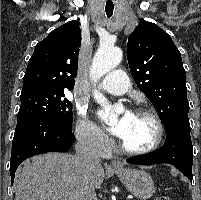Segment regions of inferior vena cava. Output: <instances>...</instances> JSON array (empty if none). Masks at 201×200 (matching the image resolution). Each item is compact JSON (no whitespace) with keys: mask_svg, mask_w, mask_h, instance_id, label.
Segmentation results:
<instances>
[{"mask_svg":"<svg viewBox=\"0 0 201 200\" xmlns=\"http://www.w3.org/2000/svg\"><path fill=\"white\" fill-rule=\"evenodd\" d=\"M75 149L76 167L83 174L78 200H96L95 188L90 178L91 170L100 165L101 160L96 145L90 138L79 137Z\"/></svg>","mask_w":201,"mask_h":200,"instance_id":"602c4592","label":"inferior vena cava"}]
</instances>
